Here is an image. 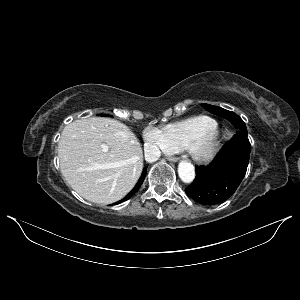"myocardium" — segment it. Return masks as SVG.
Masks as SVG:
<instances>
[{
    "label": "myocardium",
    "instance_id": "f54148a6",
    "mask_svg": "<svg viewBox=\"0 0 300 300\" xmlns=\"http://www.w3.org/2000/svg\"><path fill=\"white\" fill-rule=\"evenodd\" d=\"M221 132L218 127L202 134L190 146L192 157L198 162H208L219 152Z\"/></svg>",
    "mask_w": 300,
    "mask_h": 300
}]
</instances>
